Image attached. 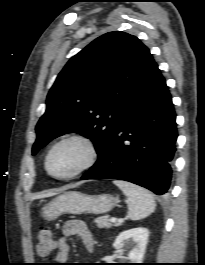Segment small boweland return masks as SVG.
Masks as SVG:
<instances>
[{
  "instance_id": "1",
  "label": "small bowel",
  "mask_w": 205,
  "mask_h": 265,
  "mask_svg": "<svg viewBox=\"0 0 205 265\" xmlns=\"http://www.w3.org/2000/svg\"><path fill=\"white\" fill-rule=\"evenodd\" d=\"M63 236L57 243V254L55 255V264H63L69 255L70 245L68 239L73 236L81 238L85 249L88 252H92L94 249V240L91 232L87 228L86 224L80 220L66 221L62 229Z\"/></svg>"
}]
</instances>
